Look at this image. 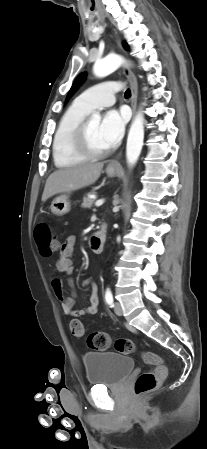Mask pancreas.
<instances>
[{"label":"pancreas","instance_id":"1","mask_svg":"<svg viewBox=\"0 0 207 449\" xmlns=\"http://www.w3.org/2000/svg\"><path fill=\"white\" fill-rule=\"evenodd\" d=\"M93 203H94V199L89 198V197H85L83 199V203H82L81 207L82 208H91Z\"/></svg>","mask_w":207,"mask_h":449}]
</instances>
